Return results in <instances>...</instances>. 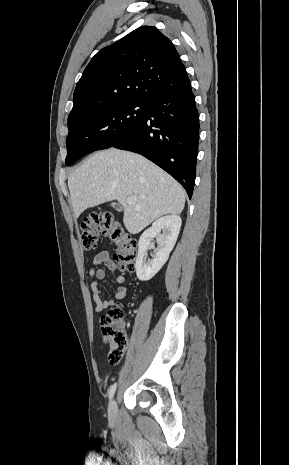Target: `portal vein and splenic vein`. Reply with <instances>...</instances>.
Instances as JSON below:
<instances>
[{"label": "portal vein and splenic vein", "mask_w": 289, "mask_h": 465, "mask_svg": "<svg viewBox=\"0 0 289 465\" xmlns=\"http://www.w3.org/2000/svg\"><path fill=\"white\" fill-rule=\"evenodd\" d=\"M135 201V198L134 197H129L127 198V203L131 204Z\"/></svg>", "instance_id": "obj_1"}]
</instances>
